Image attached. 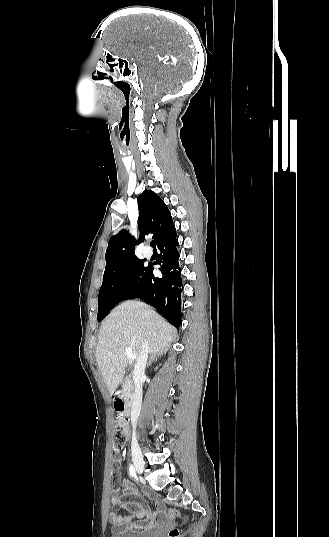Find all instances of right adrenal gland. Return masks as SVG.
I'll use <instances>...</instances> for the list:
<instances>
[{
    "label": "right adrenal gland",
    "instance_id": "1",
    "mask_svg": "<svg viewBox=\"0 0 329 537\" xmlns=\"http://www.w3.org/2000/svg\"><path fill=\"white\" fill-rule=\"evenodd\" d=\"M163 353H166L165 351H160L158 353H156V355H153L151 357V359L149 360L148 364H147V367H149L152 363V361L156 358V357H159L160 355H162Z\"/></svg>",
    "mask_w": 329,
    "mask_h": 537
}]
</instances>
